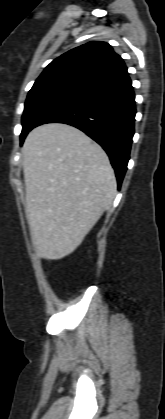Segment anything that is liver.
Listing matches in <instances>:
<instances>
[{
    "label": "liver",
    "mask_w": 165,
    "mask_h": 419,
    "mask_svg": "<svg viewBox=\"0 0 165 419\" xmlns=\"http://www.w3.org/2000/svg\"><path fill=\"white\" fill-rule=\"evenodd\" d=\"M26 214L39 257L72 253L116 195L105 151L75 127L51 123L33 129L23 148Z\"/></svg>",
    "instance_id": "liver-1"
}]
</instances>
